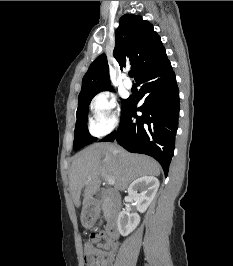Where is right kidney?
<instances>
[{"instance_id":"obj_1","label":"right kidney","mask_w":233,"mask_h":266,"mask_svg":"<svg viewBox=\"0 0 233 266\" xmlns=\"http://www.w3.org/2000/svg\"><path fill=\"white\" fill-rule=\"evenodd\" d=\"M158 188L159 181L154 176H142L130 184L128 194L135 202L138 212L144 213L147 210ZM139 223L140 216L137 213H130L129 209H124L117 220L118 230L123 236L130 234Z\"/></svg>"}]
</instances>
